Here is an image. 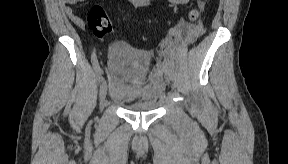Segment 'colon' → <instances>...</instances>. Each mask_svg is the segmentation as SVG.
I'll use <instances>...</instances> for the list:
<instances>
[{
    "instance_id": "colon-1",
    "label": "colon",
    "mask_w": 288,
    "mask_h": 164,
    "mask_svg": "<svg viewBox=\"0 0 288 164\" xmlns=\"http://www.w3.org/2000/svg\"><path fill=\"white\" fill-rule=\"evenodd\" d=\"M199 10L194 9L190 12L191 17H197ZM86 27L97 38L110 37L113 33V28L109 22V16L105 10L99 6L94 5L86 18Z\"/></svg>"
}]
</instances>
